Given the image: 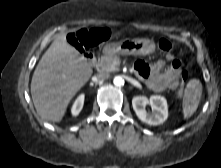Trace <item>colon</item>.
I'll list each match as a JSON object with an SVG mask.
<instances>
[{
  "mask_svg": "<svg viewBox=\"0 0 221 168\" xmlns=\"http://www.w3.org/2000/svg\"><path fill=\"white\" fill-rule=\"evenodd\" d=\"M109 37V30L105 28L83 29L78 32L72 33L69 36V42L75 48L84 51L95 46L96 44L106 40ZM162 51L168 52L172 49V44L167 39H161L158 43ZM180 88L177 96H182L185 89V82L189 80L190 74L187 70L181 73Z\"/></svg>",
  "mask_w": 221,
  "mask_h": 168,
  "instance_id": "colon-1",
  "label": "colon"
}]
</instances>
